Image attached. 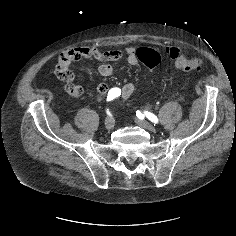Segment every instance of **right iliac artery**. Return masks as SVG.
<instances>
[{
	"label": "right iliac artery",
	"mask_w": 236,
	"mask_h": 236,
	"mask_svg": "<svg viewBox=\"0 0 236 236\" xmlns=\"http://www.w3.org/2000/svg\"><path fill=\"white\" fill-rule=\"evenodd\" d=\"M121 95V89L120 88H112L109 90L107 95V101L114 100L115 98L119 97Z\"/></svg>",
	"instance_id": "1"
}]
</instances>
